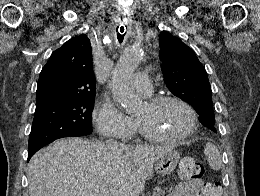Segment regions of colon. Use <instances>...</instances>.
Wrapping results in <instances>:
<instances>
[{
    "label": "colon",
    "mask_w": 260,
    "mask_h": 196,
    "mask_svg": "<svg viewBox=\"0 0 260 196\" xmlns=\"http://www.w3.org/2000/svg\"><path fill=\"white\" fill-rule=\"evenodd\" d=\"M179 179L182 182H202L204 179L203 165L195 160L182 159L178 168Z\"/></svg>",
    "instance_id": "obj_1"
}]
</instances>
